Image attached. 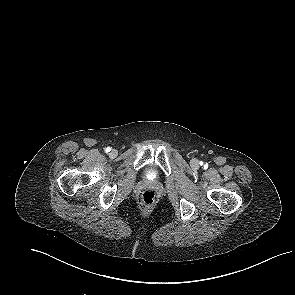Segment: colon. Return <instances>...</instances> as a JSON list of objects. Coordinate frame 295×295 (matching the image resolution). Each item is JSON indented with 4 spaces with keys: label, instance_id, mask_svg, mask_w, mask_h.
Instances as JSON below:
<instances>
[{
    "label": "colon",
    "instance_id": "1",
    "mask_svg": "<svg viewBox=\"0 0 295 295\" xmlns=\"http://www.w3.org/2000/svg\"><path fill=\"white\" fill-rule=\"evenodd\" d=\"M155 192L152 190H145L141 195V200L145 205H152L155 202Z\"/></svg>",
    "mask_w": 295,
    "mask_h": 295
}]
</instances>
